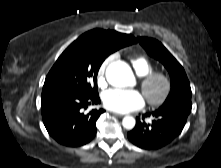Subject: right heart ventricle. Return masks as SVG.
<instances>
[{
    "instance_id": "1",
    "label": "right heart ventricle",
    "mask_w": 221,
    "mask_h": 168,
    "mask_svg": "<svg viewBox=\"0 0 221 168\" xmlns=\"http://www.w3.org/2000/svg\"><path fill=\"white\" fill-rule=\"evenodd\" d=\"M131 64L138 76L143 77L152 72L153 64L144 56H136L131 59Z\"/></svg>"
}]
</instances>
